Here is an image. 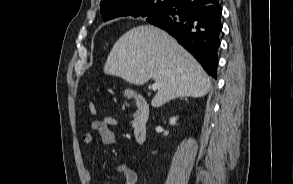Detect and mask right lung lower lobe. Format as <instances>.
I'll list each match as a JSON object with an SVG mask.
<instances>
[{
    "label": "right lung lower lobe",
    "instance_id": "98d812e1",
    "mask_svg": "<svg viewBox=\"0 0 293 184\" xmlns=\"http://www.w3.org/2000/svg\"><path fill=\"white\" fill-rule=\"evenodd\" d=\"M221 13L218 0H171L161 18L148 22L174 36L216 79Z\"/></svg>",
    "mask_w": 293,
    "mask_h": 184
}]
</instances>
